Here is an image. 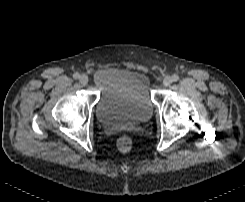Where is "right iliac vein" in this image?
<instances>
[{
    "instance_id": "1",
    "label": "right iliac vein",
    "mask_w": 245,
    "mask_h": 202,
    "mask_svg": "<svg viewBox=\"0 0 245 202\" xmlns=\"http://www.w3.org/2000/svg\"><path fill=\"white\" fill-rule=\"evenodd\" d=\"M79 81L82 85H86L88 83L89 79L86 75H81L79 77Z\"/></svg>"
}]
</instances>
